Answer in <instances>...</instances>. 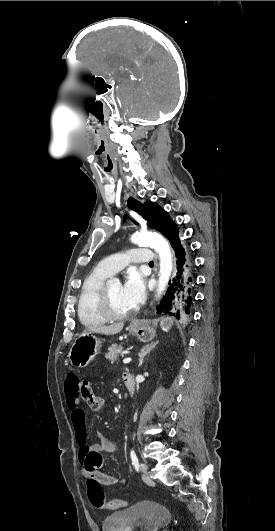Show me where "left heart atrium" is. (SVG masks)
<instances>
[{
	"instance_id": "left-heart-atrium-1",
	"label": "left heart atrium",
	"mask_w": 275,
	"mask_h": 531,
	"mask_svg": "<svg viewBox=\"0 0 275 531\" xmlns=\"http://www.w3.org/2000/svg\"><path fill=\"white\" fill-rule=\"evenodd\" d=\"M122 291L127 303L132 308L137 307L144 296L145 276L136 268L129 269L126 272Z\"/></svg>"
}]
</instances>
